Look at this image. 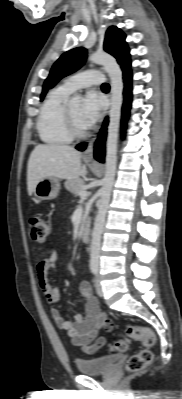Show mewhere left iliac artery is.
<instances>
[{
	"mask_svg": "<svg viewBox=\"0 0 182 399\" xmlns=\"http://www.w3.org/2000/svg\"><path fill=\"white\" fill-rule=\"evenodd\" d=\"M94 273L97 274V269L94 270Z\"/></svg>",
	"mask_w": 182,
	"mask_h": 399,
	"instance_id": "obj_1",
	"label": "left iliac artery"
}]
</instances>
